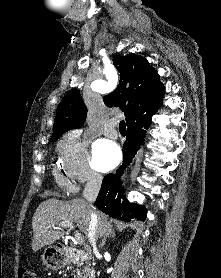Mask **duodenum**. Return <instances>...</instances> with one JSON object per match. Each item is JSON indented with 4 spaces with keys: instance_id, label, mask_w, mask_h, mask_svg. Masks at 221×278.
<instances>
[{
    "instance_id": "duodenum-1",
    "label": "duodenum",
    "mask_w": 221,
    "mask_h": 278,
    "mask_svg": "<svg viewBox=\"0 0 221 278\" xmlns=\"http://www.w3.org/2000/svg\"><path fill=\"white\" fill-rule=\"evenodd\" d=\"M58 249L65 255V259H83L84 253L81 250L60 245Z\"/></svg>"
}]
</instances>
